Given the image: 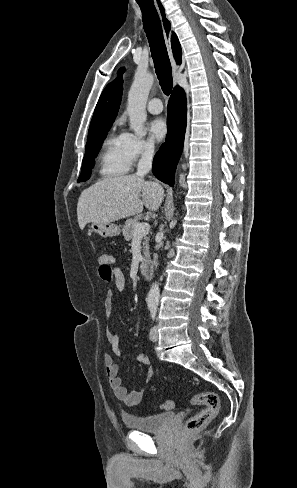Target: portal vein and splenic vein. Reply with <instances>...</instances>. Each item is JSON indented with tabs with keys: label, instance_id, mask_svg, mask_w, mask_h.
I'll return each mask as SVG.
<instances>
[{
	"label": "portal vein and splenic vein",
	"instance_id": "obj_1",
	"mask_svg": "<svg viewBox=\"0 0 297 488\" xmlns=\"http://www.w3.org/2000/svg\"><path fill=\"white\" fill-rule=\"evenodd\" d=\"M150 230V225L148 223H138L135 225L133 240L140 239L145 236Z\"/></svg>",
	"mask_w": 297,
	"mask_h": 488
}]
</instances>
